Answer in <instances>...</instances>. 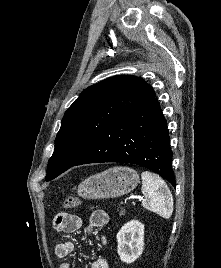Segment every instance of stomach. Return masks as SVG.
Listing matches in <instances>:
<instances>
[{"label":"stomach","instance_id":"obj_1","mask_svg":"<svg viewBox=\"0 0 221 268\" xmlns=\"http://www.w3.org/2000/svg\"><path fill=\"white\" fill-rule=\"evenodd\" d=\"M139 181L134 169L117 166L88 177L80 183L77 192L85 199L115 198L133 190Z\"/></svg>","mask_w":221,"mask_h":268}]
</instances>
